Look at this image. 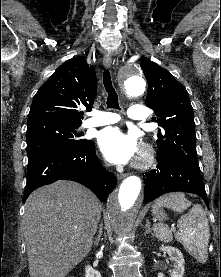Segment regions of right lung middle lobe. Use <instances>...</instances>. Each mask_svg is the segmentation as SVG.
I'll return each mask as SVG.
<instances>
[{
	"label": "right lung middle lobe",
	"instance_id": "right-lung-middle-lobe-1",
	"mask_svg": "<svg viewBox=\"0 0 221 277\" xmlns=\"http://www.w3.org/2000/svg\"><path fill=\"white\" fill-rule=\"evenodd\" d=\"M80 124L45 123L28 125L27 155L28 164L45 156L67 152L87 142L81 139L82 133L76 129Z\"/></svg>",
	"mask_w": 221,
	"mask_h": 277
}]
</instances>
